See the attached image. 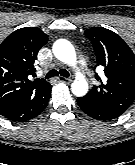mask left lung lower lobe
Returning a JSON list of instances; mask_svg holds the SVG:
<instances>
[{"label":"left lung lower lobe","instance_id":"obj_1","mask_svg":"<svg viewBox=\"0 0 135 165\" xmlns=\"http://www.w3.org/2000/svg\"><path fill=\"white\" fill-rule=\"evenodd\" d=\"M77 103L87 115L93 117L94 119L112 120L120 116L91 97H80L77 99Z\"/></svg>","mask_w":135,"mask_h":165}]
</instances>
